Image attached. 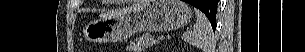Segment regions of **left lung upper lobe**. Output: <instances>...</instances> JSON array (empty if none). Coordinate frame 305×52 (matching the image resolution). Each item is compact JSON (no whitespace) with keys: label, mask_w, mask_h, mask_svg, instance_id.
I'll return each instance as SVG.
<instances>
[{"label":"left lung upper lobe","mask_w":305,"mask_h":52,"mask_svg":"<svg viewBox=\"0 0 305 52\" xmlns=\"http://www.w3.org/2000/svg\"><path fill=\"white\" fill-rule=\"evenodd\" d=\"M204 13L208 17L209 21L211 22V25H215L217 9L216 10L204 9Z\"/></svg>","instance_id":"1"}]
</instances>
